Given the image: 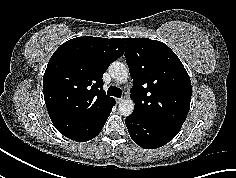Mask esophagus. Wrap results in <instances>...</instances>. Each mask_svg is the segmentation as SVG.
<instances>
[{"instance_id":"obj_1","label":"esophagus","mask_w":236,"mask_h":178,"mask_svg":"<svg viewBox=\"0 0 236 178\" xmlns=\"http://www.w3.org/2000/svg\"><path fill=\"white\" fill-rule=\"evenodd\" d=\"M124 100V98L122 97V98H117L116 99V103H120L121 101H123Z\"/></svg>"}]
</instances>
